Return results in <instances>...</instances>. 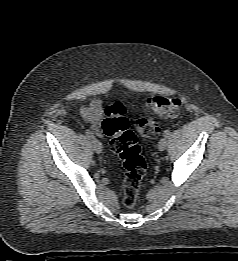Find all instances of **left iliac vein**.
I'll list each match as a JSON object with an SVG mask.
<instances>
[{
	"label": "left iliac vein",
	"instance_id": "1",
	"mask_svg": "<svg viewBox=\"0 0 238 261\" xmlns=\"http://www.w3.org/2000/svg\"><path fill=\"white\" fill-rule=\"evenodd\" d=\"M166 147H167V139L161 138L160 141L158 142V149L160 151H164Z\"/></svg>",
	"mask_w": 238,
	"mask_h": 261
}]
</instances>
